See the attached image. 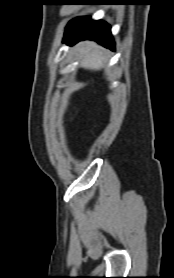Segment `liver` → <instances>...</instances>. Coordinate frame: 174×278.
I'll return each instance as SVG.
<instances>
[{
	"label": "liver",
	"instance_id": "1",
	"mask_svg": "<svg viewBox=\"0 0 174 278\" xmlns=\"http://www.w3.org/2000/svg\"><path fill=\"white\" fill-rule=\"evenodd\" d=\"M81 66L85 69L99 70L104 66V57L101 47L94 43H81L78 45Z\"/></svg>",
	"mask_w": 174,
	"mask_h": 278
}]
</instances>
